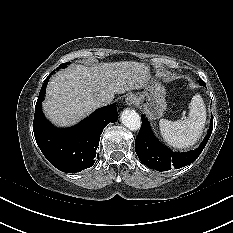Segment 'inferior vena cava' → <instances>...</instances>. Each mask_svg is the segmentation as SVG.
<instances>
[{"label":"inferior vena cava","mask_w":233,"mask_h":233,"mask_svg":"<svg viewBox=\"0 0 233 233\" xmlns=\"http://www.w3.org/2000/svg\"><path fill=\"white\" fill-rule=\"evenodd\" d=\"M112 100H113V98L110 96H103V97L99 98L98 104L100 106H105V105L110 104L112 102Z\"/></svg>","instance_id":"inferior-vena-cava-1"}]
</instances>
